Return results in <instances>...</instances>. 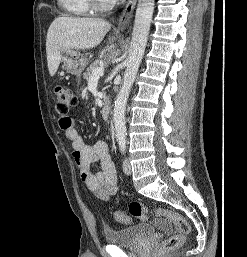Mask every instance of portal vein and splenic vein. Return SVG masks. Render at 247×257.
<instances>
[{"instance_id": "1", "label": "portal vein and splenic vein", "mask_w": 247, "mask_h": 257, "mask_svg": "<svg viewBox=\"0 0 247 257\" xmlns=\"http://www.w3.org/2000/svg\"><path fill=\"white\" fill-rule=\"evenodd\" d=\"M103 75H104V68L97 67L93 70V72L89 78V82L98 81L100 79V77H102Z\"/></svg>"}]
</instances>
